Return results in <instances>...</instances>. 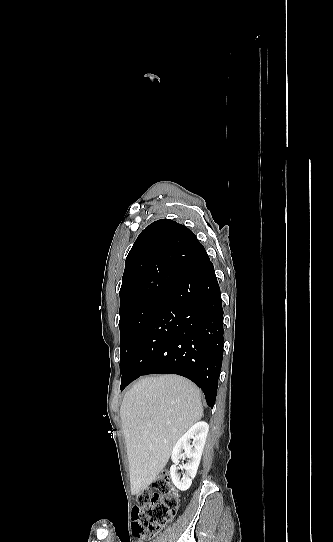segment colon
<instances>
[{"instance_id":"obj_1","label":"colon","mask_w":333,"mask_h":542,"mask_svg":"<svg viewBox=\"0 0 333 542\" xmlns=\"http://www.w3.org/2000/svg\"><path fill=\"white\" fill-rule=\"evenodd\" d=\"M158 494L144 490L136 499L133 533L136 539H151L176 515L179 495L171 473L161 472L155 479Z\"/></svg>"}]
</instances>
